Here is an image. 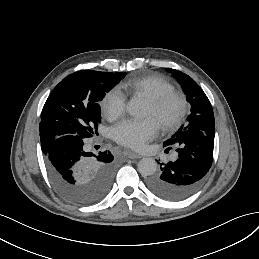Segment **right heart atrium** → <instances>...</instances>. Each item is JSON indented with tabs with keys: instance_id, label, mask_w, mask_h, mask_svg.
<instances>
[{
	"instance_id": "right-heart-atrium-1",
	"label": "right heart atrium",
	"mask_w": 259,
	"mask_h": 259,
	"mask_svg": "<svg viewBox=\"0 0 259 259\" xmlns=\"http://www.w3.org/2000/svg\"><path fill=\"white\" fill-rule=\"evenodd\" d=\"M105 108L109 116L115 118L122 115L126 109L125 98L115 90L109 91L105 96Z\"/></svg>"
}]
</instances>
